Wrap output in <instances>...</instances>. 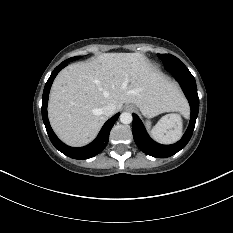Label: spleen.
I'll return each mask as SVG.
<instances>
[{
    "instance_id": "3e777b00",
    "label": "spleen",
    "mask_w": 233,
    "mask_h": 233,
    "mask_svg": "<svg viewBox=\"0 0 233 233\" xmlns=\"http://www.w3.org/2000/svg\"><path fill=\"white\" fill-rule=\"evenodd\" d=\"M183 122L180 114L163 116L151 130V136L161 144H172L182 136Z\"/></svg>"
}]
</instances>
